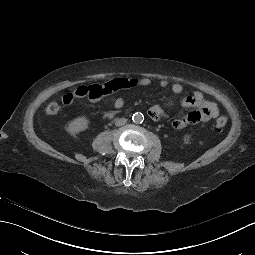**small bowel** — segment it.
<instances>
[{"label": "small bowel", "mask_w": 255, "mask_h": 255, "mask_svg": "<svg viewBox=\"0 0 255 255\" xmlns=\"http://www.w3.org/2000/svg\"><path fill=\"white\" fill-rule=\"evenodd\" d=\"M151 79L148 77L143 78H115L108 82L94 83V84H81L75 89L67 92L62 101L64 104H70L77 98H88L92 102L101 100L104 96L109 95L115 91L122 89H133L139 87H147L151 85ZM159 86L166 88L169 86V82L162 79L158 82ZM171 90L175 94H179L183 91V86L179 82H174L171 85ZM182 105L186 108H194L186 116L177 118L173 121L172 125L175 129H183L189 124H196L200 122H207L215 118L219 114L218 106L211 101H208L200 92H194L193 94L186 96L182 100ZM124 106V99L117 97L114 100V107L119 109ZM163 108L159 105H154L149 109V115L153 119H158L163 114Z\"/></svg>", "instance_id": "small-bowel-1"}]
</instances>
